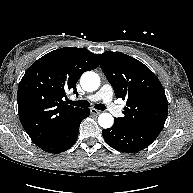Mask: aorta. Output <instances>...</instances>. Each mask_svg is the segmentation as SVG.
<instances>
[{"label": "aorta", "mask_w": 193, "mask_h": 193, "mask_svg": "<svg viewBox=\"0 0 193 193\" xmlns=\"http://www.w3.org/2000/svg\"><path fill=\"white\" fill-rule=\"evenodd\" d=\"M80 85L87 92L96 91L100 86V77L95 72H85L80 78ZM113 123L114 118L110 113H102L98 117V124L104 129L112 127Z\"/></svg>", "instance_id": "obj_1"}]
</instances>
